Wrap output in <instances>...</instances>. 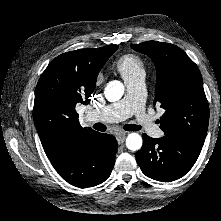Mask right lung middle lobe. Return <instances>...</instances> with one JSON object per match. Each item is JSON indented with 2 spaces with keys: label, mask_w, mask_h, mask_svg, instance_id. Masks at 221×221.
Segmentation results:
<instances>
[{
  "label": "right lung middle lobe",
  "mask_w": 221,
  "mask_h": 221,
  "mask_svg": "<svg viewBox=\"0 0 221 221\" xmlns=\"http://www.w3.org/2000/svg\"><path fill=\"white\" fill-rule=\"evenodd\" d=\"M118 46L116 45L112 51V53H114L117 50Z\"/></svg>",
  "instance_id": "dd1d6c3e"
}]
</instances>
